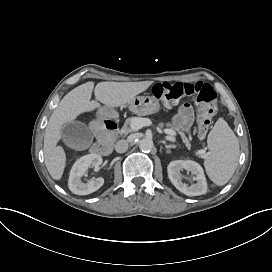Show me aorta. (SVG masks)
Here are the masks:
<instances>
[{
    "label": "aorta",
    "mask_w": 272,
    "mask_h": 272,
    "mask_svg": "<svg viewBox=\"0 0 272 272\" xmlns=\"http://www.w3.org/2000/svg\"><path fill=\"white\" fill-rule=\"evenodd\" d=\"M154 148V143L149 138H144L140 141V149L143 152H149Z\"/></svg>",
    "instance_id": "obj_1"
}]
</instances>
